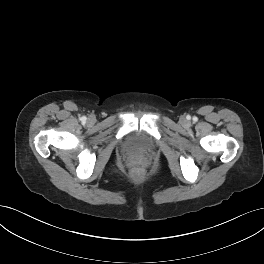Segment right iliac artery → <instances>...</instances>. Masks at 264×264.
<instances>
[{
	"instance_id": "right-iliac-artery-1",
	"label": "right iliac artery",
	"mask_w": 264,
	"mask_h": 264,
	"mask_svg": "<svg viewBox=\"0 0 264 264\" xmlns=\"http://www.w3.org/2000/svg\"><path fill=\"white\" fill-rule=\"evenodd\" d=\"M86 119H87V118H86L85 116H83V117L81 118V121H82V122H85Z\"/></svg>"
}]
</instances>
